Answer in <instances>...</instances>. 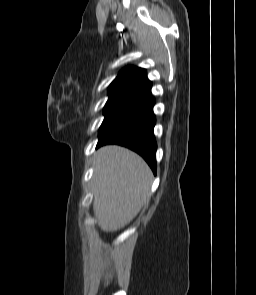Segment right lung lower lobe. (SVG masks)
<instances>
[{
	"mask_svg": "<svg viewBox=\"0 0 256 295\" xmlns=\"http://www.w3.org/2000/svg\"><path fill=\"white\" fill-rule=\"evenodd\" d=\"M155 100L148 90L130 100L123 111L99 132L97 147L119 144L140 154L156 173Z\"/></svg>",
	"mask_w": 256,
	"mask_h": 295,
	"instance_id": "1",
	"label": "right lung lower lobe"
}]
</instances>
